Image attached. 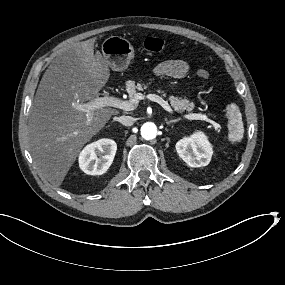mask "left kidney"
<instances>
[{"label":"left kidney","instance_id":"5707ae66","mask_svg":"<svg viewBox=\"0 0 285 285\" xmlns=\"http://www.w3.org/2000/svg\"><path fill=\"white\" fill-rule=\"evenodd\" d=\"M176 151L190 167L207 166L213 155L211 143L202 131L184 137L176 143Z\"/></svg>","mask_w":285,"mask_h":285}]
</instances>
